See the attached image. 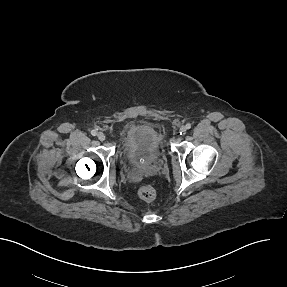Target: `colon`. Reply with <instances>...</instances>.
<instances>
[{"mask_svg":"<svg viewBox=\"0 0 287 287\" xmlns=\"http://www.w3.org/2000/svg\"><path fill=\"white\" fill-rule=\"evenodd\" d=\"M138 195L142 200L151 202V201H154L156 198V191L150 185H142L138 189Z\"/></svg>","mask_w":287,"mask_h":287,"instance_id":"1","label":"colon"}]
</instances>
